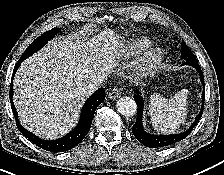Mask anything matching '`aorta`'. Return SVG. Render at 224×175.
<instances>
[{
  "instance_id": "obj_1",
  "label": "aorta",
  "mask_w": 224,
  "mask_h": 175,
  "mask_svg": "<svg viewBox=\"0 0 224 175\" xmlns=\"http://www.w3.org/2000/svg\"><path fill=\"white\" fill-rule=\"evenodd\" d=\"M116 106H117L118 112L125 117L132 116L137 111L136 102L132 98L127 97V96L121 97L117 101Z\"/></svg>"
}]
</instances>
